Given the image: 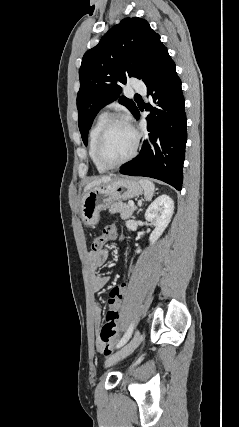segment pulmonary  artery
Returning a JSON list of instances; mask_svg holds the SVG:
<instances>
[{
  "mask_svg": "<svg viewBox=\"0 0 239 427\" xmlns=\"http://www.w3.org/2000/svg\"><path fill=\"white\" fill-rule=\"evenodd\" d=\"M133 89L136 91V92H138V93H143V94H145L146 93V85L144 84V83H142V82H135L134 84H133Z\"/></svg>",
  "mask_w": 239,
  "mask_h": 427,
  "instance_id": "pulmonary-artery-1",
  "label": "pulmonary artery"
}]
</instances>
